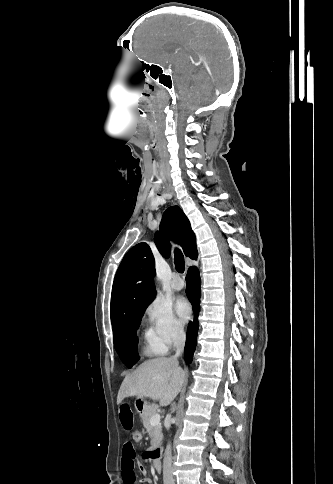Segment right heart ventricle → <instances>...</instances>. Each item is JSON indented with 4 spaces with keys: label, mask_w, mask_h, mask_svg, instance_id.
<instances>
[{
    "label": "right heart ventricle",
    "mask_w": 333,
    "mask_h": 484,
    "mask_svg": "<svg viewBox=\"0 0 333 484\" xmlns=\"http://www.w3.org/2000/svg\"><path fill=\"white\" fill-rule=\"evenodd\" d=\"M145 337H146V340H147V350H148V352H150V353H157V351L155 349H153V347L150 344L149 332H146L145 333Z\"/></svg>",
    "instance_id": "obj_1"
}]
</instances>
